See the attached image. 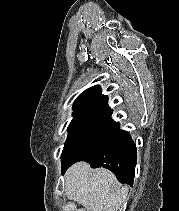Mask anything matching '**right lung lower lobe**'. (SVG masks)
<instances>
[{"mask_svg":"<svg viewBox=\"0 0 179 211\" xmlns=\"http://www.w3.org/2000/svg\"><path fill=\"white\" fill-rule=\"evenodd\" d=\"M78 161L88 162L92 168L109 169L119 182L132 185L137 163V149L129 132L120 130L118 125L114 133L103 144ZM72 164L62 166V173Z\"/></svg>","mask_w":179,"mask_h":211,"instance_id":"1","label":"right lung lower lobe"}]
</instances>
